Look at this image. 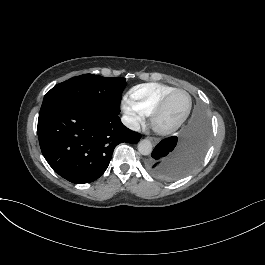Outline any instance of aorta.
<instances>
[{"instance_id":"obj_1","label":"aorta","mask_w":265,"mask_h":265,"mask_svg":"<svg viewBox=\"0 0 265 265\" xmlns=\"http://www.w3.org/2000/svg\"><path fill=\"white\" fill-rule=\"evenodd\" d=\"M138 151L142 155H149L152 151V144L149 140L143 139L138 143Z\"/></svg>"}]
</instances>
